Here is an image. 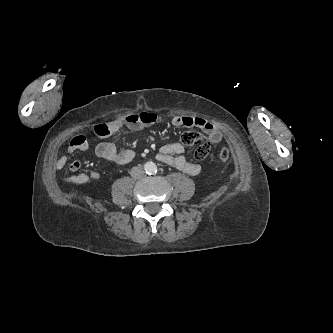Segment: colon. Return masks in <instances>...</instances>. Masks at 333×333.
Returning <instances> with one entry per match:
<instances>
[{
  "mask_svg": "<svg viewBox=\"0 0 333 333\" xmlns=\"http://www.w3.org/2000/svg\"><path fill=\"white\" fill-rule=\"evenodd\" d=\"M95 133L100 137H108L111 134V130L108 124H97L94 127ZM181 143L184 146H197L194 157L201 161L204 160L210 153V144L205 140L202 133L198 131H188L181 135ZM216 159L220 162H228L231 159V154L228 149L222 148L216 154Z\"/></svg>",
  "mask_w": 333,
  "mask_h": 333,
  "instance_id": "1",
  "label": "colon"
}]
</instances>
